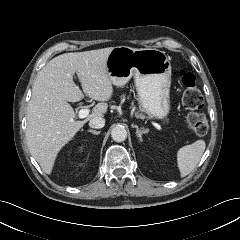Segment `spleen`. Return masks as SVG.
<instances>
[{
	"label": "spleen",
	"instance_id": "3e777b00",
	"mask_svg": "<svg viewBox=\"0 0 240 240\" xmlns=\"http://www.w3.org/2000/svg\"><path fill=\"white\" fill-rule=\"evenodd\" d=\"M205 147L206 144L204 140H197L178 150L177 164L181 177L187 176L194 170L205 151Z\"/></svg>",
	"mask_w": 240,
	"mask_h": 240
}]
</instances>
